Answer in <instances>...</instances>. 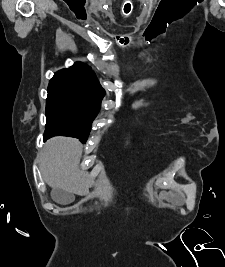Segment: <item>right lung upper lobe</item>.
<instances>
[{"label": "right lung upper lobe", "mask_w": 225, "mask_h": 267, "mask_svg": "<svg viewBox=\"0 0 225 267\" xmlns=\"http://www.w3.org/2000/svg\"><path fill=\"white\" fill-rule=\"evenodd\" d=\"M49 85H63L80 90L98 105H100L105 95V91L94 72L82 62L75 63L69 69H62L56 72Z\"/></svg>", "instance_id": "right-lung-upper-lobe-1"}]
</instances>
